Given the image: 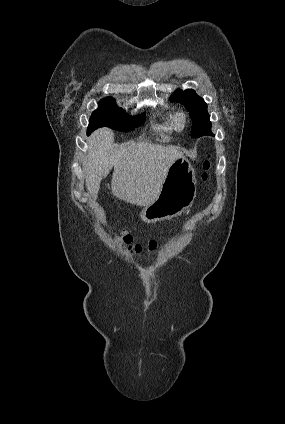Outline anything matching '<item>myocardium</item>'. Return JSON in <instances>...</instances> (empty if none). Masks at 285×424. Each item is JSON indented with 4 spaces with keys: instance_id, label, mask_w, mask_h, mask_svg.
<instances>
[{
    "instance_id": "1",
    "label": "myocardium",
    "mask_w": 285,
    "mask_h": 424,
    "mask_svg": "<svg viewBox=\"0 0 285 424\" xmlns=\"http://www.w3.org/2000/svg\"><path fill=\"white\" fill-rule=\"evenodd\" d=\"M174 126L177 130H183L187 126L188 117L184 111H179L174 115Z\"/></svg>"
}]
</instances>
